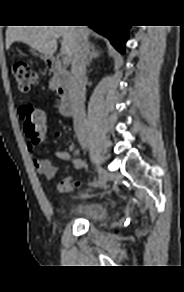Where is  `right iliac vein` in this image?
Returning <instances> with one entry per match:
<instances>
[{
  "label": "right iliac vein",
  "mask_w": 184,
  "mask_h": 292,
  "mask_svg": "<svg viewBox=\"0 0 184 292\" xmlns=\"http://www.w3.org/2000/svg\"><path fill=\"white\" fill-rule=\"evenodd\" d=\"M110 175L109 173L104 170L102 167L98 168V182L97 185L94 186V188H101L103 187L106 182L109 180Z\"/></svg>",
  "instance_id": "obj_1"
}]
</instances>
